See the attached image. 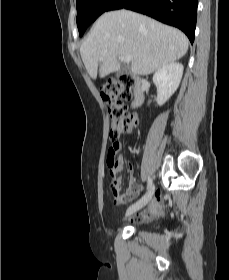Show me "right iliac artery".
Instances as JSON below:
<instances>
[{"label": "right iliac artery", "instance_id": "82829eb1", "mask_svg": "<svg viewBox=\"0 0 229 280\" xmlns=\"http://www.w3.org/2000/svg\"><path fill=\"white\" fill-rule=\"evenodd\" d=\"M152 185V179L151 178H148V181H147V190L151 187Z\"/></svg>", "mask_w": 229, "mask_h": 280}]
</instances>
